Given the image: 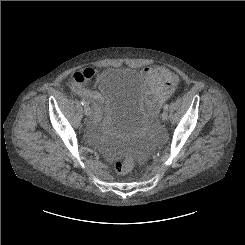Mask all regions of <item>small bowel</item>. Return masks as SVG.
<instances>
[{"label":"small bowel","instance_id":"small-bowel-1","mask_svg":"<svg viewBox=\"0 0 245 245\" xmlns=\"http://www.w3.org/2000/svg\"><path fill=\"white\" fill-rule=\"evenodd\" d=\"M140 78L144 82L145 91L152 101L163 103L179 86V78L165 67H145L140 71ZM96 77L92 68L76 71L69 83L70 89L80 96L86 97L92 104L99 100L100 95L85 84ZM79 78H86L80 81Z\"/></svg>","mask_w":245,"mask_h":245}]
</instances>
